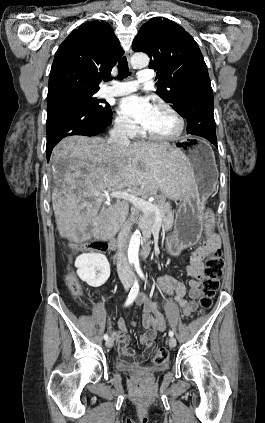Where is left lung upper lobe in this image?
Wrapping results in <instances>:
<instances>
[{
  "label": "left lung upper lobe",
  "instance_id": "5c2ea615",
  "mask_svg": "<svg viewBox=\"0 0 265 423\" xmlns=\"http://www.w3.org/2000/svg\"><path fill=\"white\" fill-rule=\"evenodd\" d=\"M132 48L147 53L149 68L157 71V94L166 102L181 109V93L191 83L209 78L202 53L193 39L180 25L166 18H152L135 37Z\"/></svg>",
  "mask_w": 265,
  "mask_h": 423
}]
</instances>
